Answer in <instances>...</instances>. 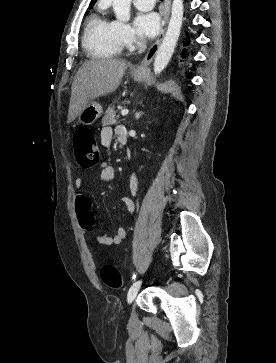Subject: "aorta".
Instances as JSON below:
<instances>
[{
  "label": "aorta",
  "mask_w": 276,
  "mask_h": 363,
  "mask_svg": "<svg viewBox=\"0 0 276 363\" xmlns=\"http://www.w3.org/2000/svg\"><path fill=\"white\" fill-rule=\"evenodd\" d=\"M116 18L122 22L130 20L131 0H112ZM183 0H173L171 17L165 37L159 46L154 60V74H160L168 65L178 42L183 22Z\"/></svg>",
  "instance_id": "1"
}]
</instances>
